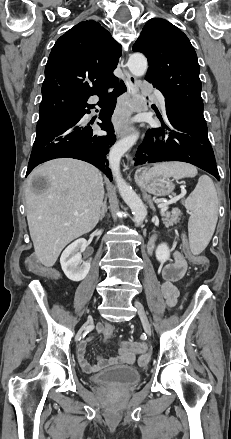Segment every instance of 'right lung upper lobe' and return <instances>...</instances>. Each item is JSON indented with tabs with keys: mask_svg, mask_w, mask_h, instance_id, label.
<instances>
[{
	"mask_svg": "<svg viewBox=\"0 0 231 439\" xmlns=\"http://www.w3.org/2000/svg\"><path fill=\"white\" fill-rule=\"evenodd\" d=\"M120 56L121 46L98 22L83 21L68 30L56 41L45 67L39 121L106 93L118 80L112 72Z\"/></svg>",
	"mask_w": 231,
	"mask_h": 439,
	"instance_id": "1",
	"label": "right lung upper lobe"
}]
</instances>
